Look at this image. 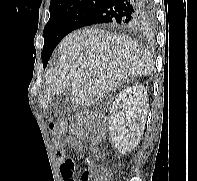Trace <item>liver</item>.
Here are the masks:
<instances>
[{"instance_id": "liver-1", "label": "liver", "mask_w": 197, "mask_h": 181, "mask_svg": "<svg viewBox=\"0 0 197 181\" xmlns=\"http://www.w3.org/2000/svg\"><path fill=\"white\" fill-rule=\"evenodd\" d=\"M58 52L61 58L45 82L42 108L68 88L73 104L90 107L128 77L154 69L152 58L136 41L98 28L68 34Z\"/></svg>"}]
</instances>
